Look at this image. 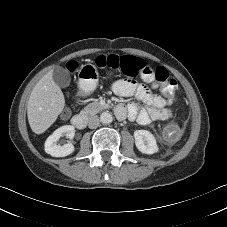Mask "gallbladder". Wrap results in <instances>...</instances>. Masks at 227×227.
Instances as JSON below:
<instances>
[{
	"mask_svg": "<svg viewBox=\"0 0 227 227\" xmlns=\"http://www.w3.org/2000/svg\"><path fill=\"white\" fill-rule=\"evenodd\" d=\"M53 80L59 87L65 88L70 84V73L65 68L56 67L53 71Z\"/></svg>",
	"mask_w": 227,
	"mask_h": 227,
	"instance_id": "gallbladder-1",
	"label": "gallbladder"
}]
</instances>
